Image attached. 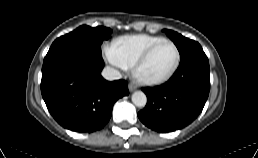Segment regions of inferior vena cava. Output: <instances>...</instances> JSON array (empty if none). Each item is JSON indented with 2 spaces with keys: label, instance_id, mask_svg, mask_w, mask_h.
Here are the masks:
<instances>
[{
  "label": "inferior vena cava",
  "instance_id": "inferior-vena-cava-1",
  "mask_svg": "<svg viewBox=\"0 0 258 158\" xmlns=\"http://www.w3.org/2000/svg\"><path fill=\"white\" fill-rule=\"evenodd\" d=\"M102 76L108 81L118 80L122 77L121 73L118 70L110 66H106L103 69Z\"/></svg>",
  "mask_w": 258,
  "mask_h": 158
}]
</instances>
